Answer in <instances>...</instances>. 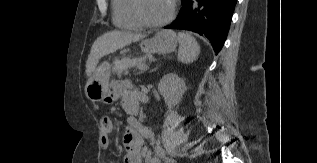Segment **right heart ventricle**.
<instances>
[{"label": "right heart ventricle", "mask_w": 317, "mask_h": 163, "mask_svg": "<svg viewBox=\"0 0 317 163\" xmlns=\"http://www.w3.org/2000/svg\"><path fill=\"white\" fill-rule=\"evenodd\" d=\"M113 23L116 27L127 30L141 29L132 10V0H112Z\"/></svg>", "instance_id": "e07e8e85"}]
</instances>
